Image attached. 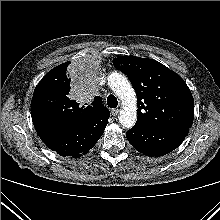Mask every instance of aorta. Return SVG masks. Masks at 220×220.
Listing matches in <instances>:
<instances>
[{
    "instance_id": "762f6f07",
    "label": "aorta",
    "mask_w": 220,
    "mask_h": 220,
    "mask_svg": "<svg viewBox=\"0 0 220 220\" xmlns=\"http://www.w3.org/2000/svg\"><path fill=\"white\" fill-rule=\"evenodd\" d=\"M108 85L111 90L122 101V109L119 114V123L129 129L137 120V97L129 80L121 73H111L108 78Z\"/></svg>"
}]
</instances>
